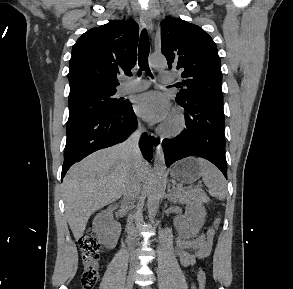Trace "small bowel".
<instances>
[{"label": "small bowel", "instance_id": "1", "mask_svg": "<svg viewBox=\"0 0 293 289\" xmlns=\"http://www.w3.org/2000/svg\"><path fill=\"white\" fill-rule=\"evenodd\" d=\"M214 230L209 227L196 237L188 239L181 235L176 237L175 255L183 267H193L197 261L205 260L211 253ZM204 272L201 267L197 273Z\"/></svg>", "mask_w": 293, "mask_h": 289}]
</instances>
